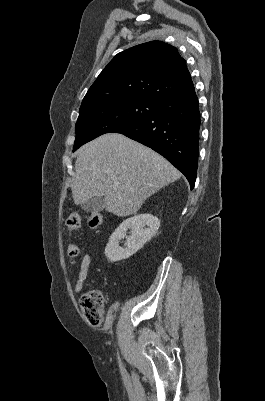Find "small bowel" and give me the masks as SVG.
<instances>
[{
  "label": "small bowel",
  "mask_w": 265,
  "mask_h": 401,
  "mask_svg": "<svg viewBox=\"0 0 265 401\" xmlns=\"http://www.w3.org/2000/svg\"><path fill=\"white\" fill-rule=\"evenodd\" d=\"M70 262L72 265H76V260L75 258L70 257ZM91 255L89 253H85L82 256L81 262L79 264L78 267H76V271H77V281L74 287V291L75 293H80L83 290L85 281L87 279L88 276V271H89V267L91 264Z\"/></svg>",
  "instance_id": "obj_1"
}]
</instances>
